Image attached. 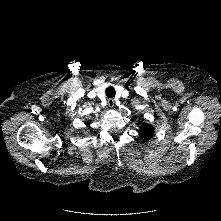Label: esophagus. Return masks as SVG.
I'll return each instance as SVG.
<instances>
[{"label": "esophagus", "instance_id": "esophagus-1", "mask_svg": "<svg viewBox=\"0 0 221 221\" xmlns=\"http://www.w3.org/2000/svg\"><path fill=\"white\" fill-rule=\"evenodd\" d=\"M108 105H109V107H113L114 106V104H115V100L114 99H108Z\"/></svg>", "mask_w": 221, "mask_h": 221}]
</instances>
